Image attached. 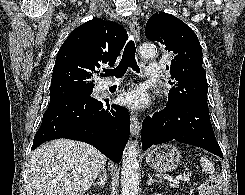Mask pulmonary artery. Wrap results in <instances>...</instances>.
<instances>
[{
  "label": "pulmonary artery",
  "mask_w": 245,
  "mask_h": 195,
  "mask_svg": "<svg viewBox=\"0 0 245 195\" xmlns=\"http://www.w3.org/2000/svg\"><path fill=\"white\" fill-rule=\"evenodd\" d=\"M157 66H158V64H156V63H152V64H149L148 65V67H147V69H146V77L147 78H152V77H154L155 75H157L158 74V72H157ZM112 85V82H110V81H107V82H105V83H103L102 85H101V89L102 90H106L107 88H109L110 86Z\"/></svg>",
  "instance_id": "e3ab8cb5"
}]
</instances>
